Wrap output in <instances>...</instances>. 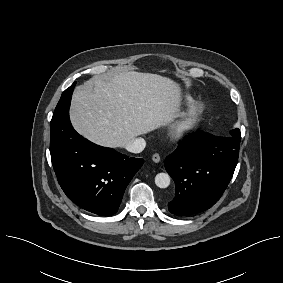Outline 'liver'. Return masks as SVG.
<instances>
[{
  "label": "liver",
  "mask_w": 283,
  "mask_h": 283,
  "mask_svg": "<svg viewBox=\"0 0 283 283\" xmlns=\"http://www.w3.org/2000/svg\"><path fill=\"white\" fill-rule=\"evenodd\" d=\"M181 89L157 74L126 72L93 78L72 98L70 118L76 131L105 147L121 148L137 136L172 122Z\"/></svg>",
  "instance_id": "obj_1"
}]
</instances>
